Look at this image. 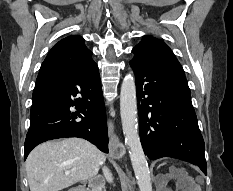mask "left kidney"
Masks as SVG:
<instances>
[{
  "label": "left kidney",
  "mask_w": 233,
  "mask_h": 191,
  "mask_svg": "<svg viewBox=\"0 0 233 191\" xmlns=\"http://www.w3.org/2000/svg\"><path fill=\"white\" fill-rule=\"evenodd\" d=\"M170 178H175V179H177L178 185L181 186V184H182V182H183L182 179H180V178H178V177L171 176V175H167V180H169ZM168 191H170V190H168Z\"/></svg>",
  "instance_id": "1"
}]
</instances>
